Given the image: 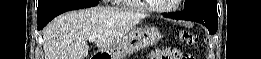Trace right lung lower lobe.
Segmentation results:
<instances>
[{"label":"right lung lower lobe","instance_id":"1","mask_svg":"<svg viewBox=\"0 0 261 59\" xmlns=\"http://www.w3.org/2000/svg\"><path fill=\"white\" fill-rule=\"evenodd\" d=\"M98 5V0H58L37 13L38 30L43 29L53 18L70 10L88 8Z\"/></svg>","mask_w":261,"mask_h":59}]
</instances>
